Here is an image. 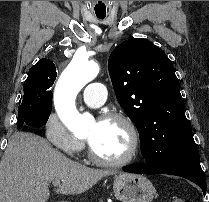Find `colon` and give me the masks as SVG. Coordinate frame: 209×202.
Listing matches in <instances>:
<instances>
[{"instance_id": "obj_1", "label": "colon", "mask_w": 209, "mask_h": 202, "mask_svg": "<svg viewBox=\"0 0 209 202\" xmlns=\"http://www.w3.org/2000/svg\"><path fill=\"white\" fill-rule=\"evenodd\" d=\"M170 202H191V201L185 198H174Z\"/></svg>"}]
</instances>
